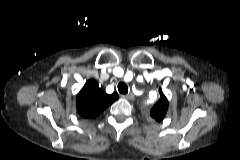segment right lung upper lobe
Listing matches in <instances>:
<instances>
[{"instance_id": "obj_1", "label": "right lung upper lobe", "mask_w": 240, "mask_h": 160, "mask_svg": "<svg viewBox=\"0 0 240 160\" xmlns=\"http://www.w3.org/2000/svg\"><path fill=\"white\" fill-rule=\"evenodd\" d=\"M118 99V94H106L94 80H89L78 93L76 107L83 118H94Z\"/></svg>"}]
</instances>
